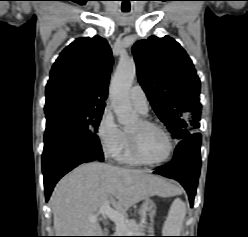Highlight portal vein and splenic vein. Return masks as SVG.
<instances>
[{"label":"portal vein and splenic vein","instance_id":"obj_1","mask_svg":"<svg viewBox=\"0 0 248 237\" xmlns=\"http://www.w3.org/2000/svg\"><path fill=\"white\" fill-rule=\"evenodd\" d=\"M101 214L103 216H107L110 220H112L117 228H123L125 227L126 220L123 216V214L115 211L112 209L109 205L108 201H105L103 205L99 208L98 212L96 215H92L89 217V220L94 222L97 220V216Z\"/></svg>","mask_w":248,"mask_h":237}]
</instances>
